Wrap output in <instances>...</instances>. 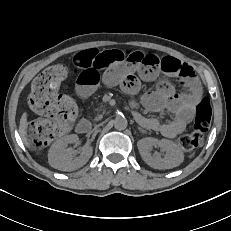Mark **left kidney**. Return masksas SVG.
Returning <instances> with one entry per match:
<instances>
[{
    "label": "left kidney",
    "instance_id": "1",
    "mask_svg": "<svg viewBox=\"0 0 231 231\" xmlns=\"http://www.w3.org/2000/svg\"><path fill=\"white\" fill-rule=\"evenodd\" d=\"M137 146L144 162L155 169H171L179 166L184 160L183 152L171 140L145 137L138 141ZM153 146L160 147L166 152L164 158L157 154L152 155Z\"/></svg>",
    "mask_w": 231,
    "mask_h": 231
}]
</instances>
